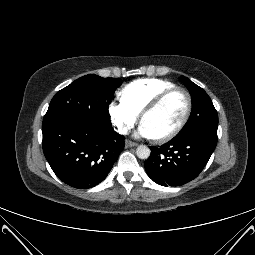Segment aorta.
<instances>
[{
  "mask_svg": "<svg viewBox=\"0 0 255 255\" xmlns=\"http://www.w3.org/2000/svg\"><path fill=\"white\" fill-rule=\"evenodd\" d=\"M136 154L140 159H147L151 154V150L146 145H140L136 149Z\"/></svg>",
  "mask_w": 255,
  "mask_h": 255,
  "instance_id": "1",
  "label": "aorta"
}]
</instances>
